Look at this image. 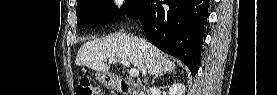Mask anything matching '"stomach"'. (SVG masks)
Wrapping results in <instances>:
<instances>
[{
    "mask_svg": "<svg viewBox=\"0 0 277 95\" xmlns=\"http://www.w3.org/2000/svg\"><path fill=\"white\" fill-rule=\"evenodd\" d=\"M97 79L104 83L105 85H112V81L110 80V77L106 74L98 73Z\"/></svg>",
    "mask_w": 277,
    "mask_h": 95,
    "instance_id": "0dacf381",
    "label": "stomach"
}]
</instances>
